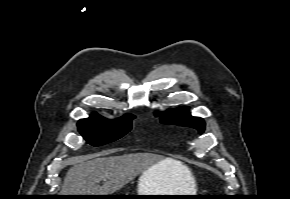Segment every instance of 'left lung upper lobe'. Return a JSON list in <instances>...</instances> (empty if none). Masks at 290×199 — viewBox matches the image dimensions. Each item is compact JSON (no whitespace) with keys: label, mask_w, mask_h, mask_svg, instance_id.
<instances>
[{"label":"left lung upper lobe","mask_w":290,"mask_h":199,"mask_svg":"<svg viewBox=\"0 0 290 199\" xmlns=\"http://www.w3.org/2000/svg\"><path fill=\"white\" fill-rule=\"evenodd\" d=\"M161 122L192 127L197 129L200 133H203L205 129L204 120L198 117H192L187 107L167 111L161 115Z\"/></svg>","instance_id":"left-lung-upper-lobe-1"}]
</instances>
